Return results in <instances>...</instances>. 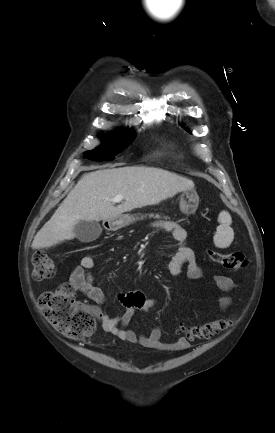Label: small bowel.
Listing matches in <instances>:
<instances>
[{"mask_svg": "<svg viewBox=\"0 0 275 433\" xmlns=\"http://www.w3.org/2000/svg\"><path fill=\"white\" fill-rule=\"evenodd\" d=\"M160 227L170 233L177 243V250L171 260L167 263V270L172 275L181 273L185 264L188 265L187 275L190 279H198L202 271L196 263L194 250L187 245V234L185 230L171 222H164ZM95 266V260L91 255H84L81 262L70 274L69 283L78 291L95 303L90 307L102 329L114 335L120 340L132 344H140L142 347L157 351H180L188 348L189 342L185 337H179L172 342L161 341V329L155 326L148 335H137L134 330L125 329L132 316L137 310L147 311L152 306V302L146 297L142 290L135 289L129 292H122L117 295V300L123 305L124 312L117 317H109L103 313L101 306L106 302L104 291L94 282V278L89 273ZM214 280L218 288L223 293L220 299L222 310H226L230 305L228 293L233 287V282L226 275H215Z\"/></svg>", "mask_w": 275, "mask_h": 433, "instance_id": "1", "label": "small bowel"}]
</instances>
